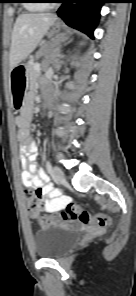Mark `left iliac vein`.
Wrapping results in <instances>:
<instances>
[{
	"label": "left iliac vein",
	"mask_w": 136,
	"mask_h": 296,
	"mask_svg": "<svg viewBox=\"0 0 136 296\" xmlns=\"http://www.w3.org/2000/svg\"><path fill=\"white\" fill-rule=\"evenodd\" d=\"M53 177L57 183H59V184L65 183L64 174L60 168H58V167L53 168Z\"/></svg>",
	"instance_id": "4c4485c4"
}]
</instances>
